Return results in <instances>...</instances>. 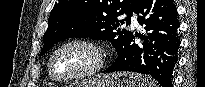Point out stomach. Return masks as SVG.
Instances as JSON below:
<instances>
[{
	"instance_id": "obj_1",
	"label": "stomach",
	"mask_w": 205,
	"mask_h": 87,
	"mask_svg": "<svg viewBox=\"0 0 205 87\" xmlns=\"http://www.w3.org/2000/svg\"><path fill=\"white\" fill-rule=\"evenodd\" d=\"M142 75L130 72L102 74L80 82L75 87H151ZM69 87H74L73 85Z\"/></svg>"
}]
</instances>
